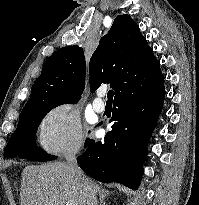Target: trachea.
Wrapping results in <instances>:
<instances>
[{
	"label": "trachea",
	"mask_w": 199,
	"mask_h": 205,
	"mask_svg": "<svg viewBox=\"0 0 199 205\" xmlns=\"http://www.w3.org/2000/svg\"><path fill=\"white\" fill-rule=\"evenodd\" d=\"M113 96H114V91L113 90H109L108 93H107L108 101H112L113 100Z\"/></svg>",
	"instance_id": "trachea-1"
}]
</instances>
